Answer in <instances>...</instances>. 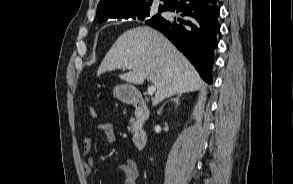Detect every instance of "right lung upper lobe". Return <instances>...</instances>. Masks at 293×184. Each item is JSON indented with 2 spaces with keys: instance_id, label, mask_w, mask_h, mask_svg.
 Wrapping results in <instances>:
<instances>
[{
  "instance_id": "right-lung-upper-lobe-1",
  "label": "right lung upper lobe",
  "mask_w": 293,
  "mask_h": 184,
  "mask_svg": "<svg viewBox=\"0 0 293 184\" xmlns=\"http://www.w3.org/2000/svg\"><path fill=\"white\" fill-rule=\"evenodd\" d=\"M153 0H101L98 4L97 18L99 21L127 19L135 14L150 10ZM159 9H164L169 0Z\"/></svg>"
}]
</instances>
